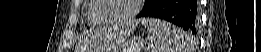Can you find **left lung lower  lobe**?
Segmentation results:
<instances>
[{
  "instance_id": "0a47b994",
  "label": "left lung lower lobe",
  "mask_w": 261,
  "mask_h": 52,
  "mask_svg": "<svg viewBox=\"0 0 261 52\" xmlns=\"http://www.w3.org/2000/svg\"><path fill=\"white\" fill-rule=\"evenodd\" d=\"M140 17H155L167 20L186 30L192 35L198 29V3L197 0H153L145 7Z\"/></svg>"
}]
</instances>
